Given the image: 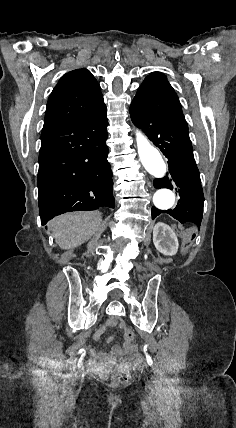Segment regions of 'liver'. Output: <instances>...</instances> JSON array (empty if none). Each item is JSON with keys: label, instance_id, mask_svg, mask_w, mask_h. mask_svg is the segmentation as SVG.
<instances>
[{"label": "liver", "instance_id": "liver-1", "mask_svg": "<svg viewBox=\"0 0 236 428\" xmlns=\"http://www.w3.org/2000/svg\"><path fill=\"white\" fill-rule=\"evenodd\" d=\"M102 222L98 212H78V214H63L49 222L56 244L61 250H72L90 240L97 232Z\"/></svg>", "mask_w": 236, "mask_h": 428}]
</instances>
